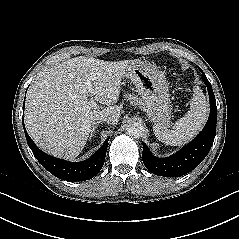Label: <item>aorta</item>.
<instances>
[{"label": "aorta", "instance_id": "762f6f07", "mask_svg": "<svg viewBox=\"0 0 239 239\" xmlns=\"http://www.w3.org/2000/svg\"><path fill=\"white\" fill-rule=\"evenodd\" d=\"M144 131V126L140 122H132L126 126V133L132 138L142 137Z\"/></svg>", "mask_w": 239, "mask_h": 239}]
</instances>
